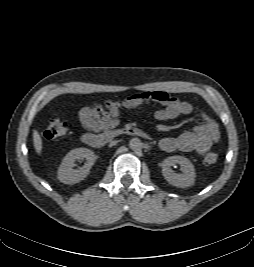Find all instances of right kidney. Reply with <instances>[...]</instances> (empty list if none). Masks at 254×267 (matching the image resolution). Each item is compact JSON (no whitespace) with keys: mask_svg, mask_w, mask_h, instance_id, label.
I'll use <instances>...</instances> for the list:
<instances>
[{"mask_svg":"<svg viewBox=\"0 0 254 267\" xmlns=\"http://www.w3.org/2000/svg\"><path fill=\"white\" fill-rule=\"evenodd\" d=\"M83 159L86 160L84 166L79 169H73L75 166V161ZM95 160L96 156L93 151L87 148L73 149L63 158L58 169L57 177L62 183L65 184L78 183L87 177Z\"/></svg>","mask_w":254,"mask_h":267,"instance_id":"right-kidney-1","label":"right kidney"}]
</instances>
